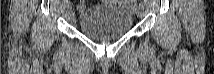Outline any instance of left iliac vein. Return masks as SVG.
Listing matches in <instances>:
<instances>
[{"mask_svg":"<svg viewBox=\"0 0 214 74\" xmlns=\"http://www.w3.org/2000/svg\"><path fill=\"white\" fill-rule=\"evenodd\" d=\"M135 12H136V15H137L138 17H142L143 14H144L143 8H141V7H137Z\"/></svg>","mask_w":214,"mask_h":74,"instance_id":"obj_1","label":"left iliac vein"}]
</instances>
